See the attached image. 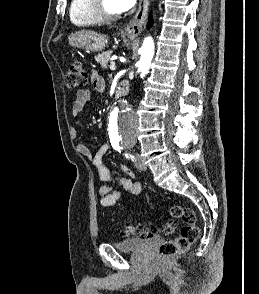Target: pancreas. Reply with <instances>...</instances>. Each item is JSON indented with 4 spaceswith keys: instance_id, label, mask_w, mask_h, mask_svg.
<instances>
[{
    "instance_id": "cf45deb5",
    "label": "pancreas",
    "mask_w": 259,
    "mask_h": 294,
    "mask_svg": "<svg viewBox=\"0 0 259 294\" xmlns=\"http://www.w3.org/2000/svg\"><path fill=\"white\" fill-rule=\"evenodd\" d=\"M112 54V51H106L101 54H98L95 57V60L97 63L101 65L102 68H107L108 63L110 62V56Z\"/></svg>"
}]
</instances>
